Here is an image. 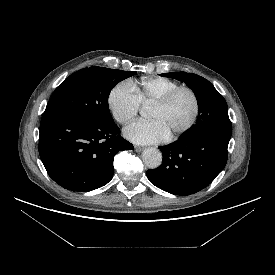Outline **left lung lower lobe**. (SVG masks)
I'll list each match as a JSON object with an SVG mask.
<instances>
[{"label":"left lung lower lobe","mask_w":275,"mask_h":275,"mask_svg":"<svg viewBox=\"0 0 275 275\" xmlns=\"http://www.w3.org/2000/svg\"><path fill=\"white\" fill-rule=\"evenodd\" d=\"M230 137L185 136L178 142L159 147L163 163L146 172L156 187L174 195H190L208 186L224 169Z\"/></svg>","instance_id":"left-lung-lower-lobe-1"}]
</instances>
